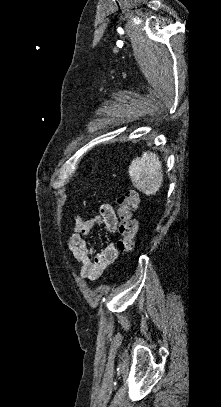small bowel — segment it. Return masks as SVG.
<instances>
[{"mask_svg":"<svg viewBox=\"0 0 221 407\" xmlns=\"http://www.w3.org/2000/svg\"><path fill=\"white\" fill-rule=\"evenodd\" d=\"M117 224L116 212L108 203L101 204L99 212L92 214L87 220H83L79 213L76 214L74 226L67 240V247L74 260L79 264L81 280L94 281L98 279L118 256L115 244L110 242L102 252L91 259L92 247L86 238L93 229L101 226L110 233H116Z\"/></svg>","mask_w":221,"mask_h":407,"instance_id":"1","label":"small bowel"}]
</instances>
